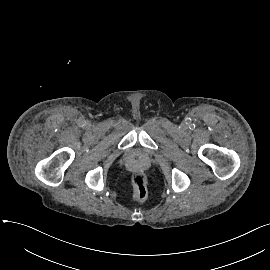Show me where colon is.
Listing matches in <instances>:
<instances>
[{
	"mask_svg": "<svg viewBox=\"0 0 270 270\" xmlns=\"http://www.w3.org/2000/svg\"><path fill=\"white\" fill-rule=\"evenodd\" d=\"M131 184L133 186V199L135 201L144 200L148 194V182L144 174H133L131 177Z\"/></svg>",
	"mask_w": 270,
	"mask_h": 270,
	"instance_id": "1",
	"label": "colon"
}]
</instances>
